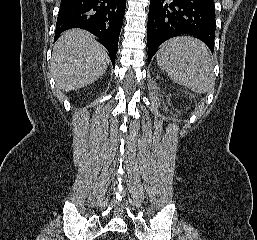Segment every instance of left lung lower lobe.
<instances>
[{
  "instance_id": "left-lung-lower-lobe-1",
  "label": "left lung lower lobe",
  "mask_w": 257,
  "mask_h": 240,
  "mask_svg": "<svg viewBox=\"0 0 257 240\" xmlns=\"http://www.w3.org/2000/svg\"><path fill=\"white\" fill-rule=\"evenodd\" d=\"M214 0H150L147 43L148 63L157 48L176 35H193L213 52Z\"/></svg>"
}]
</instances>
